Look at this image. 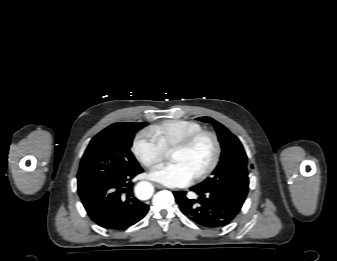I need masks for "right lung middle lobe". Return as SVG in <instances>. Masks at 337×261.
Segmentation results:
<instances>
[{
  "label": "right lung middle lobe",
  "mask_w": 337,
  "mask_h": 261,
  "mask_svg": "<svg viewBox=\"0 0 337 261\" xmlns=\"http://www.w3.org/2000/svg\"><path fill=\"white\" fill-rule=\"evenodd\" d=\"M147 123H115L90 141L77 175L78 193L139 170L131 152L134 135Z\"/></svg>",
  "instance_id": "right-lung-middle-lobe-1"
}]
</instances>
